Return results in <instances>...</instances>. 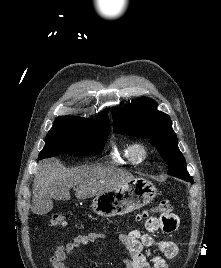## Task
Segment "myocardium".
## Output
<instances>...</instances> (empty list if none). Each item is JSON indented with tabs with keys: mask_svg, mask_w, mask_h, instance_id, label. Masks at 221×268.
<instances>
[{
	"mask_svg": "<svg viewBox=\"0 0 221 268\" xmlns=\"http://www.w3.org/2000/svg\"><path fill=\"white\" fill-rule=\"evenodd\" d=\"M130 155L135 163H142L148 157V148L142 142H135L131 145Z\"/></svg>",
	"mask_w": 221,
	"mask_h": 268,
	"instance_id": "myocardium-1",
	"label": "myocardium"
}]
</instances>
